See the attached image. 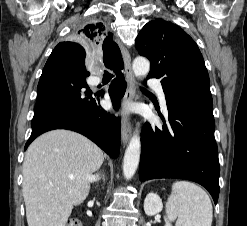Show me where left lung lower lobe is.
<instances>
[{
    "mask_svg": "<svg viewBox=\"0 0 247 226\" xmlns=\"http://www.w3.org/2000/svg\"><path fill=\"white\" fill-rule=\"evenodd\" d=\"M164 93L168 121L160 115L162 127L144 124L139 179L191 180L204 186L216 204L220 168L209 82L182 81Z\"/></svg>",
    "mask_w": 247,
    "mask_h": 226,
    "instance_id": "0a47b994",
    "label": "left lung lower lobe"
}]
</instances>
